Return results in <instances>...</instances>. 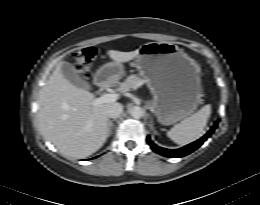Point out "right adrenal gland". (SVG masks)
I'll list each match as a JSON object with an SVG mask.
<instances>
[{"label":"right adrenal gland","instance_id":"obj_1","mask_svg":"<svg viewBox=\"0 0 260 205\" xmlns=\"http://www.w3.org/2000/svg\"><path fill=\"white\" fill-rule=\"evenodd\" d=\"M115 120L116 119L108 121V136H110L112 134L113 121H115Z\"/></svg>","mask_w":260,"mask_h":205}]
</instances>
